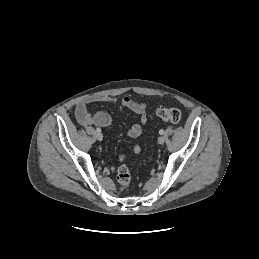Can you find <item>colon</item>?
Returning <instances> with one entry per match:
<instances>
[{
    "label": "colon",
    "instance_id": "colon-1",
    "mask_svg": "<svg viewBox=\"0 0 259 259\" xmlns=\"http://www.w3.org/2000/svg\"><path fill=\"white\" fill-rule=\"evenodd\" d=\"M156 116L164 122L177 124L181 121V112L174 107H160L156 111ZM117 181L124 187L129 188L132 177L129 168L126 165H121L117 169Z\"/></svg>",
    "mask_w": 259,
    "mask_h": 259
}]
</instances>
